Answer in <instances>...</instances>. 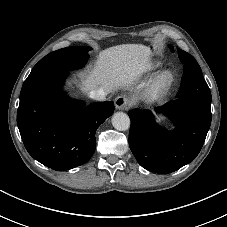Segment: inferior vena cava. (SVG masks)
I'll return each mask as SVG.
<instances>
[{"instance_id": "602c4592", "label": "inferior vena cava", "mask_w": 227, "mask_h": 227, "mask_svg": "<svg viewBox=\"0 0 227 227\" xmlns=\"http://www.w3.org/2000/svg\"><path fill=\"white\" fill-rule=\"evenodd\" d=\"M106 92L102 88L94 89L90 91V98L95 99L97 101H104L106 99Z\"/></svg>"}]
</instances>
